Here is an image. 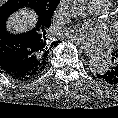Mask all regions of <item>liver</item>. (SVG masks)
<instances>
[{
	"mask_svg": "<svg viewBox=\"0 0 118 118\" xmlns=\"http://www.w3.org/2000/svg\"><path fill=\"white\" fill-rule=\"evenodd\" d=\"M36 17L32 11L20 10L8 21V27L15 32H23L34 26Z\"/></svg>",
	"mask_w": 118,
	"mask_h": 118,
	"instance_id": "liver-1",
	"label": "liver"
}]
</instances>
